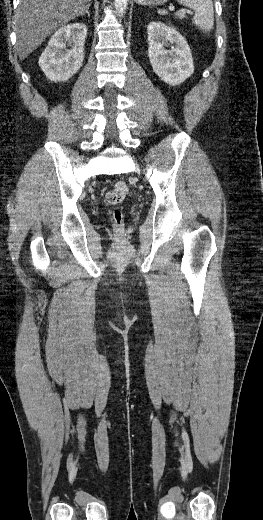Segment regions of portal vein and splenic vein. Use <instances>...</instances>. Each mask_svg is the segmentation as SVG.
<instances>
[{
	"label": "portal vein and splenic vein",
	"mask_w": 263,
	"mask_h": 520,
	"mask_svg": "<svg viewBox=\"0 0 263 520\" xmlns=\"http://www.w3.org/2000/svg\"><path fill=\"white\" fill-rule=\"evenodd\" d=\"M169 9H170L171 11H174L175 7H174L173 5H170V6H169ZM182 11L184 12L185 10H182Z\"/></svg>",
	"instance_id": "obj_1"
}]
</instances>
